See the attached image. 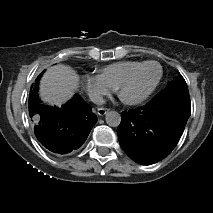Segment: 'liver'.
Masks as SVG:
<instances>
[{"label": "liver", "mask_w": 213, "mask_h": 213, "mask_svg": "<svg viewBox=\"0 0 213 213\" xmlns=\"http://www.w3.org/2000/svg\"><path fill=\"white\" fill-rule=\"evenodd\" d=\"M79 87V75L68 65L50 67L40 80L41 99L50 104L61 106L66 103Z\"/></svg>", "instance_id": "1"}]
</instances>
